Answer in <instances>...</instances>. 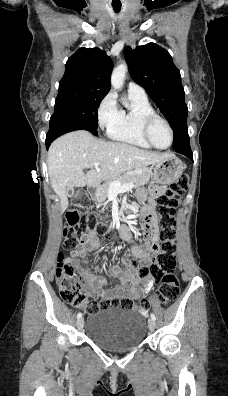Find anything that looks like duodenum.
<instances>
[{
  "label": "duodenum",
  "instance_id": "duodenum-1",
  "mask_svg": "<svg viewBox=\"0 0 228 396\" xmlns=\"http://www.w3.org/2000/svg\"><path fill=\"white\" fill-rule=\"evenodd\" d=\"M90 194H91V196H93L94 198L96 197V191H95L94 189L91 190Z\"/></svg>",
  "mask_w": 228,
  "mask_h": 396
}]
</instances>
